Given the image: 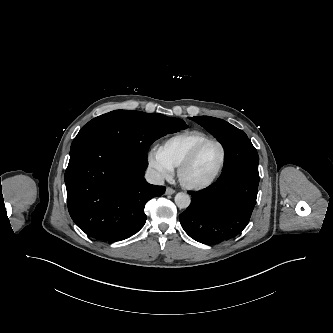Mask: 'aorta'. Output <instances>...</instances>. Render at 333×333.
<instances>
[{
  "instance_id": "obj_1",
  "label": "aorta",
  "mask_w": 333,
  "mask_h": 333,
  "mask_svg": "<svg viewBox=\"0 0 333 333\" xmlns=\"http://www.w3.org/2000/svg\"><path fill=\"white\" fill-rule=\"evenodd\" d=\"M175 203L180 209H186L191 203V199L186 193H177L175 195Z\"/></svg>"
}]
</instances>
